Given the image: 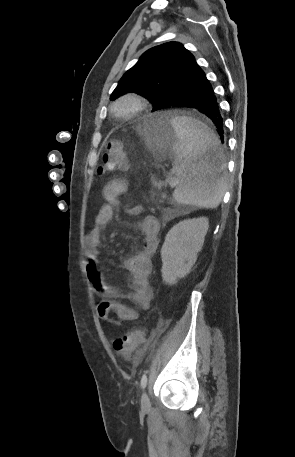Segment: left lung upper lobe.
I'll list each match as a JSON object with an SVG mask.
<instances>
[{"instance_id": "1", "label": "left lung upper lobe", "mask_w": 295, "mask_h": 457, "mask_svg": "<svg viewBox=\"0 0 295 457\" xmlns=\"http://www.w3.org/2000/svg\"><path fill=\"white\" fill-rule=\"evenodd\" d=\"M195 64L194 56L179 42L155 46L122 76L110 98L135 92L158 110L164 101L190 85L187 76Z\"/></svg>"}]
</instances>
